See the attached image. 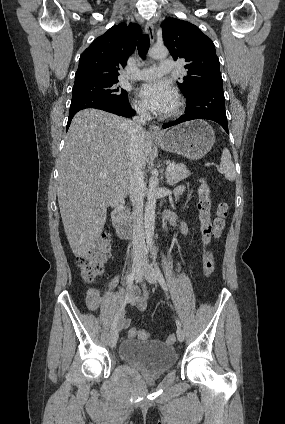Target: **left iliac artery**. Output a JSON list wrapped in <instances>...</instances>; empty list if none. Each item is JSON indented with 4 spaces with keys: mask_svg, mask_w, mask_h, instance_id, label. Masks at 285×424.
Returning a JSON list of instances; mask_svg holds the SVG:
<instances>
[{
    "mask_svg": "<svg viewBox=\"0 0 285 424\" xmlns=\"http://www.w3.org/2000/svg\"><path fill=\"white\" fill-rule=\"evenodd\" d=\"M152 255H153L154 262H155L156 275H157L158 281H159L160 285L162 286V288L165 291H167V284H166L165 279H164V277H163V275H162V273H161L160 269L158 268L157 263L155 261V253L152 252ZM176 325H177L178 328H181V322L179 321V319H176Z\"/></svg>",
    "mask_w": 285,
    "mask_h": 424,
    "instance_id": "44dca946",
    "label": "left iliac artery"
}]
</instances>
